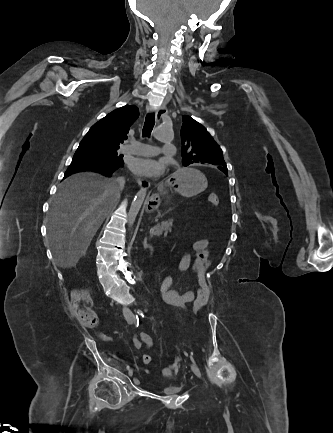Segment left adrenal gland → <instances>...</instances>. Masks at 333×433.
I'll use <instances>...</instances> for the list:
<instances>
[{
    "instance_id": "obj_1",
    "label": "left adrenal gland",
    "mask_w": 333,
    "mask_h": 433,
    "mask_svg": "<svg viewBox=\"0 0 333 433\" xmlns=\"http://www.w3.org/2000/svg\"><path fill=\"white\" fill-rule=\"evenodd\" d=\"M143 246H144V249L148 248V249L152 250V248H153L151 245L147 244V237L144 238Z\"/></svg>"
}]
</instances>
